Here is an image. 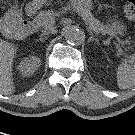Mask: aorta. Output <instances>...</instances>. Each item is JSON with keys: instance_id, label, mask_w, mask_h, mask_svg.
I'll return each mask as SVG.
<instances>
[{"instance_id": "obj_1", "label": "aorta", "mask_w": 135, "mask_h": 135, "mask_svg": "<svg viewBox=\"0 0 135 135\" xmlns=\"http://www.w3.org/2000/svg\"><path fill=\"white\" fill-rule=\"evenodd\" d=\"M65 40L69 44L79 45L84 40V32L76 26H67L64 30Z\"/></svg>"}]
</instances>
